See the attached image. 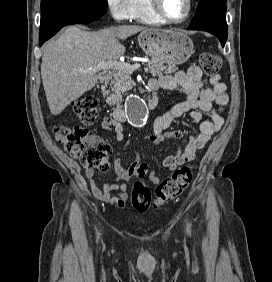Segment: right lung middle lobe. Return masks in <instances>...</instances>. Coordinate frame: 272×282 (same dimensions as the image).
<instances>
[{"label": "right lung middle lobe", "mask_w": 272, "mask_h": 282, "mask_svg": "<svg viewBox=\"0 0 272 282\" xmlns=\"http://www.w3.org/2000/svg\"><path fill=\"white\" fill-rule=\"evenodd\" d=\"M68 6H98L107 9V0H42V14L56 8Z\"/></svg>", "instance_id": "dd1d6c3e"}]
</instances>
